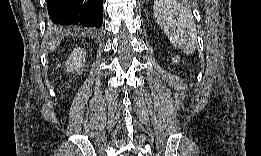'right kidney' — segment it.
Returning <instances> with one entry per match:
<instances>
[{"mask_svg": "<svg viewBox=\"0 0 261 156\" xmlns=\"http://www.w3.org/2000/svg\"><path fill=\"white\" fill-rule=\"evenodd\" d=\"M86 57V52L83 51L80 47L74 48L73 52L71 53L66 65H67V72H73L74 70L78 73L80 70L84 68V59ZM83 59V63H82Z\"/></svg>", "mask_w": 261, "mask_h": 156, "instance_id": "obj_1", "label": "right kidney"}]
</instances>
